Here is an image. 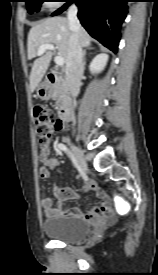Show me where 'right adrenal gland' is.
<instances>
[{"label":"right adrenal gland","instance_id":"right-adrenal-gland-1","mask_svg":"<svg viewBox=\"0 0 158 275\" xmlns=\"http://www.w3.org/2000/svg\"><path fill=\"white\" fill-rule=\"evenodd\" d=\"M83 63L86 64V50L83 51Z\"/></svg>","mask_w":158,"mask_h":275}]
</instances>
